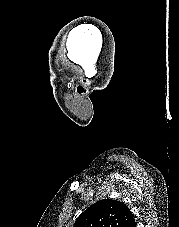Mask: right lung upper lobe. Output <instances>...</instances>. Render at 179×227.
I'll return each instance as SVG.
<instances>
[{
  "label": "right lung upper lobe",
  "instance_id": "obj_1",
  "mask_svg": "<svg viewBox=\"0 0 179 227\" xmlns=\"http://www.w3.org/2000/svg\"><path fill=\"white\" fill-rule=\"evenodd\" d=\"M73 227H136V223L126 204L107 198L82 212Z\"/></svg>",
  "mask_w": 179,
  "mask_h": 227
}]
</instances>
